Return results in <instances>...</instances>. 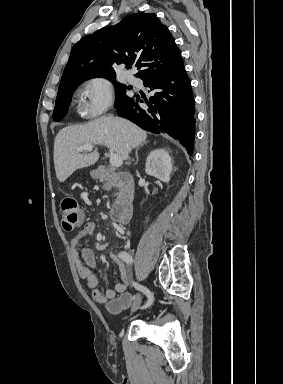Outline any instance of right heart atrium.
Instances as JSON below:
<instances>
[{"mask_svg":"<svg viewBox=\"0 0 283 384\" xmlns=\"http://www.w3.org/2000/svg\"><path fill=\"white\" fill-rule=\"evenodd\" d=\"M79 116L89 122H97L114 104L113 84L105 77L91 76L77 87Z\"/></svg>","mask_w":283,"mask_h":384,"instance_id":"right-heart-atrium-1","label":"right heart atrium"}]
</instances>
